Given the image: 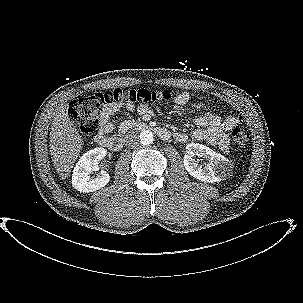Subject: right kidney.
I'll return each instance as SVG.
<instances>
[{
    "label": "right kidney",
    "instance_id": "ca27d5eb",
    "mask_svg": "<svg viewBox=\"0 0 303 303\" xmlns=\"http://www.w3.org/2000/svg\"><path fill=\"white\" fill-rule=\"evenodd\" d=\"M107 151L104 148H94L81 156L74 167L72 174V186L80 192H94L103 188L110 181L106 171H101L96 177H90L92 171L97 170L98 161L102 160Z\"/></svg>",
    "mask_w": 303,
    "mask_h": 303
}]
</instances>
